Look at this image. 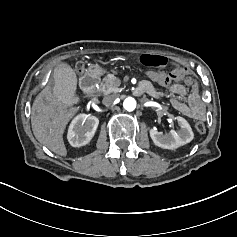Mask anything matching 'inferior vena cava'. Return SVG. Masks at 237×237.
I'll return each mask as SVG.
<instances>
[{
    "label": "inferior vena cava",
    "instance_id": "obj_1",
    "mask_svg": "<svg viewBox=\"0 0 237 237\" xmlns=\"http://www.w3.org/2000/svg\"><path fill=\"white\" fill-rule=\"evenodd\" d=\"M117 98V95H107L103 98L102 103L104 105H111L116 101Z\"/></svg>",
    "mask_w": 237,
    "mask_h": 237
}]
</instances>
